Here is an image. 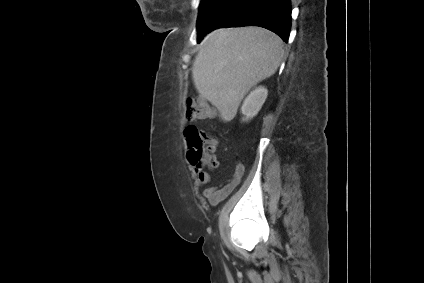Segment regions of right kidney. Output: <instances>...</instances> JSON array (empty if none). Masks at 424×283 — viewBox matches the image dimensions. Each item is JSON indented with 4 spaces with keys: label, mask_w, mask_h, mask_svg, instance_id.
I'll use <instances>...</instances> for the list:
<instances>
[{
    "label": "right kidney",
    "mask_w": 424,
    "mask_h": 283,
    "mask_svg": "<svg viewBox=\"0 0 424 283\" xmlns=\"http://www.w3.org/2000/svg\"><path fill=\"white\" fill-rule=\"evenodd\" d=\"M268 95V90L265 87H256L245 98L241 112L245 118L243 121H248L258 114Z\"/></svg>",
    "instance_id": "1"
}]
</instances>
